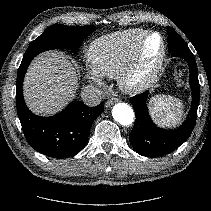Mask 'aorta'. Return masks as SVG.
<instances>
[{"label": "aorta", "instance_id": "1", "mask_svg": "<svg viewBox=\"0 0 211 211\" xmlns=\"http://www.w3.org/2000/svg\"><path fill=\"white\" fill-rule=\"evenodd\" d=\"M113 118L123 126L134 121V111L127 103H117L112 109Z\"/></svg>", "mask_w": 211, "mask_h": 211}]
</instances>
